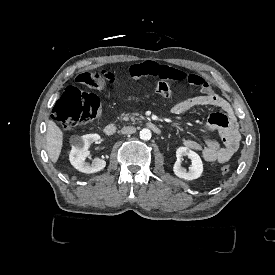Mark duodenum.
<instances>
[{"label": "duodenum", "mask_w": 275, "mask_h": 275, "mask_svg": "<svg viewBox=\"0 0 275 275\" xmlns=\"http://www.w3.org/2000/svg\"><path fill=\"white\" fill-rule=\"evenodd\" d=\"M148 127L153 133L157 135H160L162 133V129L154 123H148ZM116 131H117V127L113 123L107 124L104 128V133L108 136L114 135Z\"/></svg>", "instance_id": "410a0bca"}]
</instances>
